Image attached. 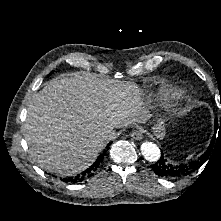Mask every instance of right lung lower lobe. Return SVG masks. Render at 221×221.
I'll return each mask as SVG.
<instances>
[{"instance_id":"right-lung-lower-lobe-1","label":"right lung lower lobe","mask_w":221,"mask_h":221,"mask_svg":"<svg viewBox=\"0 0 221 221\" xmlns=\"http://www.w3.org/2000/svg\"><path fill=\"white\" fill-rule=\"evenodd\" d=\"M111 145V143L108 144V147ZM104 158V154H101L96 161L85 171H83L81 174L75 176V177H67L64 178L63 181L64 182H77V181H83L86 177H89L91 175H93V173L96 171V169L98 168L99 164L102 162Z\"/></svg>"}]
</instances>
